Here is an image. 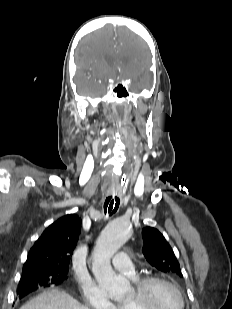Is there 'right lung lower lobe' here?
<instances>
[{
  "instance_id": "obj_1",
  "label": "right lung lower lobe",
  "mask_w": 232,
  "mask_h": 309,
  "mask_svg": "<svg viewBox=\"0 0 232 309\" xmlns=\"http://www.w3.org/2000/svg\"><path fill=\"white\" fill-rule=\"evenodd\" d=\"M37 288H34V287H30V286H24V287H21L18 289V297L19 298H23L25 297L26 295H28L29 293L35 291Z\"/></svg>"
}]
</instances>
